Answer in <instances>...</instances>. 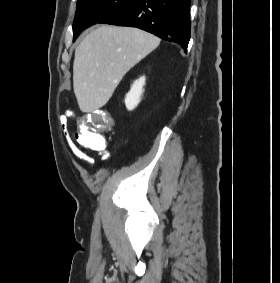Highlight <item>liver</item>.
I'll return each instance as SVG.
<instances>
[{
  "label": "liver",
  "mask_w": 280,
  "mask_h": 283,
  "mask_svg": "<svg viewBox=\"0 0 280 283\" xmlns=\"http://www.w3.org/2000/svg\"><path fill=\"white\" fill-rule=\"evenodd\" d=\"M159 43L137 28L102 25L92 30L75 50L73 88L80 110L103 107L123 76Z\"/></svg>",
  "instance_id": "liver-1"
}]
</instances>
